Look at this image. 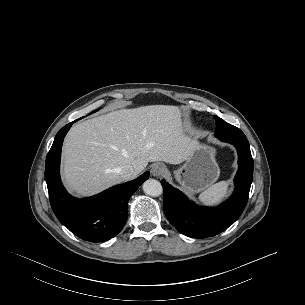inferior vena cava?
<instances>
[{"mask_svg":"<svg viewBox=\"0 0 305 305\" xmlns=\"http://www.w3.org/2000/svg\"><path fill=\"white\" fill-rule=\"evenodd\" d=\"M135 172V169L132 165H125L117 170L118 175L123 179H130Z\"/></svg>","mask_w":305,"mask_h":305,"instance_id":"602c4592","label":"inferior vena cava"}]
</instances>
